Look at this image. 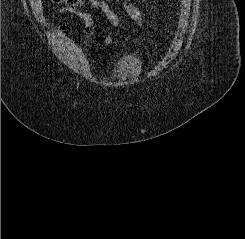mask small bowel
Wrapping results in <instances>:
<instances>
[{"instance_id": "1", "label": "small bowel", "mask_w": 245, "mask_h": 239, "mask_svg": "<svg viewBox=\"0 0 245 239\" xmlns=\"http://www.w3.org/2000/svg\"><path fill=\"white\" fill-rule=\"evenodd\" d=\"M63 6L59 9L60 12H69L80 18H83L87 22L86 28V39L85 45L90 39L92 22L87 13H85L82 8L86 3L95 10H99L104 13L109 20V22L114 26L118 27L120 25V18L111 10L110 6L105 0H75L73 3L60 2ZM122 4L130 16V18L135 22L137 26H142L144 24V19L141 11L135 7L128 0H122ZM66 30L65 24L61 23L58 27L60 33H64Z\"/></svg>"}]
</instances>
